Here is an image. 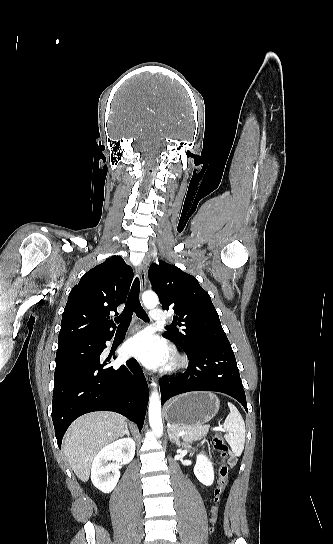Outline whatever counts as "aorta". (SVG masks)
<instances>
[{"mask_svg":"<svg viewBox=\"0 0 333 544\" xmlns=\"http://www.w3.org/2000/svg\"><path fill=\"white\" fill-rule=\"evenodd\" d=\"M142 300L145 307L150 309L156 307L159 302L157 294L153 291L143 293ZM149 423L156 436H162L161 402L157 390H153L149 399Z\"/></svg>","mask_w":333,"mask_h":544,"instance_id":"obj_1","label":"aorta"}]
</instances>
